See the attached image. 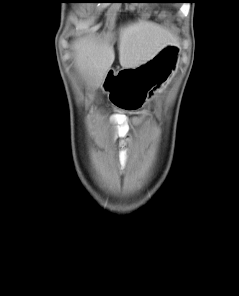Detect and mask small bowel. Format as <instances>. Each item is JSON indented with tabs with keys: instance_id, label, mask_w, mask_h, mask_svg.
<instances>
[{
	"instance_id": "obj_1",
	"label": "small bowel",
	"mask_w": 239,
	"mask_h": 296,
	"mask_svg": "<svg viewBox=\"0 0 239 296\" xmlns=\"http://www.w3.org/2000/svg\"><path fill=\"white\" fill-rule=\"evenodd\" d=\"M113 120L120 125H124L125 121H126V117L123 114H116L113 116ZM121 144L123 147V152L120 156V164H121V166H123L126 163V159H127L126 150H125L126 143L124 141H122Z\"/></svg>"
}]
</instances>
